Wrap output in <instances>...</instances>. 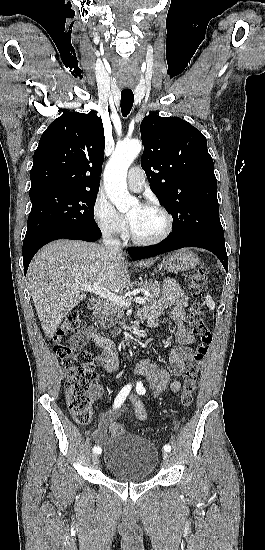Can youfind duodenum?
<instances>
[{
    "mask_svg": "<svg viewBox=\"0 0 265 550\" xmlns=\"http://www.w3.org/2000/svg\"><path fill=\"white\" fill-rule=\"evenodd\" d=\"M102 302L100 299H91L88 303V309L92 312L98 311L101 308Z\"/></svg>",
    "mask_w": 265,
    "mask_h": 550,
    "instance_id": "obj_1",
    "label": "duodenum"
}]
</instances>
